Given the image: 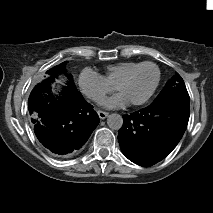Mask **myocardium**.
<instances>
[{"instance_id": "1", "label": "myocardium", "mask_w": 213, "mask_h": 213, "mask_svg": "<svg viewBox=\"0 0 213 213\" xmlns=\"http://www.w3.org/2000/svg\"><path fill=\"white\" fill-rule=\"evenodd\" d=\"M145 66H150V67H152L155 70V72H156L155 82L153 84L152 89L150 90V92L145 97H143L142 99L137 100V101H131V102L128 101L130 103V105H132V106L143 105L147 101H149L150 98L154 95V93H155V91H156V89H157V87L159 85L160 78H161V71H160V68L158 67V65L153 63V62H150V61L142 62V63L136 65L135 67H133L132 69H130L124 76H122L120 78V80L114 86L115 90L118 91L119 87L124 82H126L132 76L133 73H135L136 71H138L139 69H141L142 67H145Z\"/></svg>"}]
</instances>
